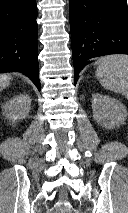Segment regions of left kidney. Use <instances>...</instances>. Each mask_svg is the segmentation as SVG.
<instances>
[{"mask_svg": "<svg viewBox=\"0 0 128 213\" xmlns=\"http://www.w3.org/2000/svg\"><path fill=\"white\" fill-rule=\"evenodd\" d=\"M93 118L106 129L122 125L127 118V110L119 100L100 94L92 95Z\"/></svg>", "mask_w": 128, "mask_h": 213, "instance_id": "left-kidney-1", "label": "left kidney"}]
</instances>
